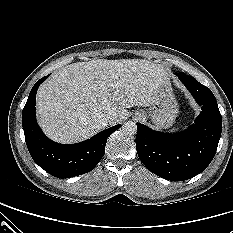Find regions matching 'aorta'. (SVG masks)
<instances>
[{
    "mask_svg": "<svg viewBox=\"0 0 233 233\" xmlns=\"http://www.w3.org/2000/svg\"><path fill=\"white\" fill-rule=\"evenodd\" d=\"M122 132L126 135H134L137 132L136 123L133 121H127L122 125Z\"/></svg>",
    "mask_w": 233,
    "mask_h": 233,
    "instance_id": "aorta-1",
    "label": "aorta"
}]
</instances>
